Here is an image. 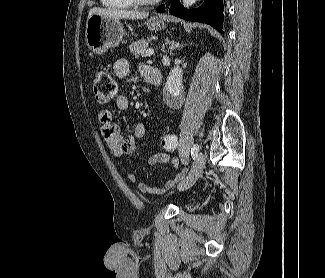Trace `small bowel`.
Listing matches in <instances>:
<instances>
[{
  "label": "small bowel",
  "instance_id": "c3829d8e",
  "mask_svg": "<svg viewBox=\"0 0 325 278\" xmlns=\"http://www.w3.org/2000/svg\"><path fill=\"white\" fill-rule=\"evenodd\" d=\"M147 67H142V72L145 75V70ZM115 74L120 78H125L130 73V64L126 59H119L114 63L113 66ZM116 106L121 111H127L129 109V100L128 98L120 94L116 98ZM99 121L101 124V133L105 139V142L113 155L115 157H120L123 154H131L135 151L137 143L144 137L146 128L144 123H137L133 130L127 134L122 135L118 126L113 123V117L110 111L102 110L99 112ZM165 134L166 135H169ZM171 160V156L168 153H158L149 158L147 164L149 166H154L157 164L167 163ZM185 171L180 172L175 178L166 182L164 188L171 187L175 185L179 180H181ZM126 178L129 182L135 183L137 178L135 173L127 172ZM139 190L143 192H149L151 194H159L163 192L164 188H152L144 182L137 184Z\"/></svg>",
  "mask_w": 325,
  "mask_h": 278
}]
</instances>
